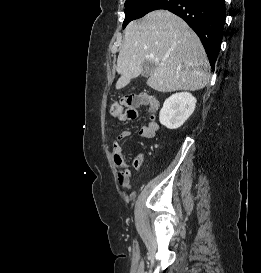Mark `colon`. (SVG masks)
Masks as SVG:
<instances>
[{
	"instance_id": "5ec220e1",
	"label": "colon",
	"mask_w": 261,
	"mask_h": 273,
	"mask_svg": "<svg viewBox=\"0 0 261 273\" xmlns=\"http://www.w3.org/2000/svg\"><path fill=\"white\" fill-rule=\"evenodd\" d=\"M141 102V96L126 95L119 100L112 102L110 106V113L112 116L118 118L126 116L128 119H135L138 115L136 107ZM115 161L119 164L123 162V157L120 153L115 154Z\"/></svg>"
}]
</instances>
